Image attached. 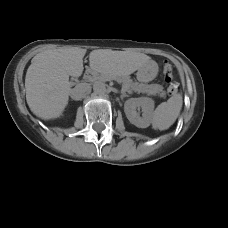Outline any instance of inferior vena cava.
Returning <instances> with one entry per match:
<instances>
[{"label":"inferior vena cava","instance_id":"inferior-vena-cava-1","mask_svg":"<svg viewBox=\"0 0 228 228\" xmlns=\"http://www.w3.org/2000/svg\"><path fill=\"white\" fill-rule=\"evenodd\" d=\"M91 87L86 83H80L75 88L71 90V98L73 100L79 101L84 98L88 93H90Z\"/></svg>","mask_w":228,"mask_h":228}]
</instances>
